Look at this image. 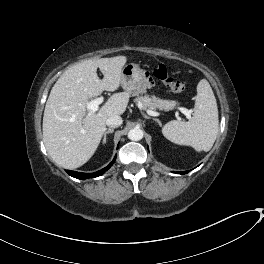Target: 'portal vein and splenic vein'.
I'll use <instances>...</instances> for the list:
<instances>
[{
	"instance_id": "portal-vein-and-splenic-vein-1",
	"label": "portal vein and splenic vein",
	"mask_w": 264,
	"mask_h": 264,
	"mask_svg": "<svg viewBox=\"0 0 264 264\" xmlns=\"http://www.w3.org/2000/svg\"><path fill=\"white\" fill-rule=\"evenodd\" d=\"M104 101V97H98L90 102L86 103V108L90 113H94L99 109V105ZM181 113H183L188 119L191 118V111L184 107L177 108ZM147 114L150 116H158L159 113L153 110H147Z\"/></svg>"
}]
</instances>
